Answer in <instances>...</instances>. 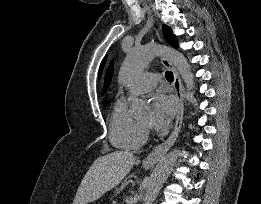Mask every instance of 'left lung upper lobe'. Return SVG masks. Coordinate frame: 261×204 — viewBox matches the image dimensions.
<instances>
[{"mask_svg": "<svg viewBox=\"0 0 261 204\" xmlns=\"http://www.w3.org/2000/svg\"><path fill=\"white\" fill-rule=\"evenodd\" d=\"M163 35L164 38L166 39V41L172 45L174 48H178V41L176 36L173 34L172 30L170 29V27L164 25L163 26ZM105 59L102 61L101 66H100V70H99V74H101L102 69L104 67V63H105Z\"/></svg>", "mask_w": 261, "mask_h": 204, "instance_id": "obj_1", "label": "left lung upper lobe"}]
</instances>
